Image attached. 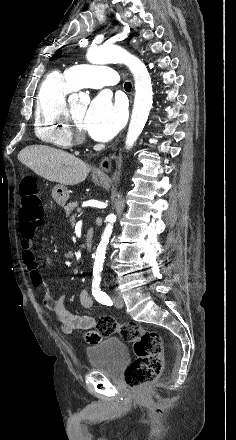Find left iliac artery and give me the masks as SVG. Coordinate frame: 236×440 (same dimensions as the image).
I'll use <instances>...</instances> for the list:
<instances>
[{"label":"left iliac artery","mask_w":236,"mask_h":440,"mask_svg":"<svg viewBox=\"0 0 236 440\" xmlns=\"http://www.w3.org/2000/svg\"><path fill=\"white\" fill-rule=\"evenodd\" d=\"M92 295L101 304L112 306L113 302L110 297L103 291H101L99 285H92Z\"/></svg>","instance_id":"1"}]
</instances>
